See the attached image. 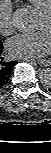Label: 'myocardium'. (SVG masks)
I'll return each mask as SVG.
<instances>
[{"mask_svg": "<svg viewBox=\"0 0 51 153\" xmlns=\"http://www.w3.org/2000/svg\"><path fill=\"white\" fill-rule=\"evenodd\" d=\"M41 15L51 19V6L48 9L41 11Z\"/></svg>", "mask_w": 51, "mask_h": 153, "instance_id": "myocardium-1", "label": "myocardium"}]
</instances>
